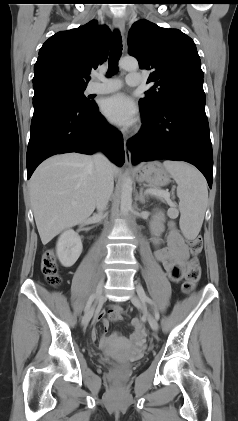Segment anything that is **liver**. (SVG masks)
Listing matches in <instances>:
<instances>
[{
  "label": "liver",
  "mask_w": 238,
  "mask_h": 421,
  "mask_svg": "<svg viewBox=\"0 0 238 421\" xmlns=\"http://www.w3.org/2000/svg\"><path fill=\"white\" fill-rule=\"evenodd\" d=\"M110 166L116 176L118 168ZM29 188L36 226L46 245L93 213L97 192L93 157L78 153L53 156L38 166Z\"/></svg>",
  "instance_id": "obj_1"
}]
</instances>
